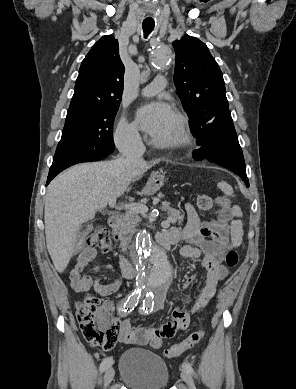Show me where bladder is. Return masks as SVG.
<instances>
[{"label":"bladder","instance_id":"obj_1","mask_svg":"<svg viewBox=\"0 0 296 389\" xmlns=\"http://www.w3.org/2000/svg\"><path fill=\"white\" fill-rule=\"evenodd\" d=\"M119 371L122 381L131 389H164L169 382L164 360L144 349L124 351L119 360Z\"/></svg>","mask_w":296,"mask_h":389}]
</instances>
